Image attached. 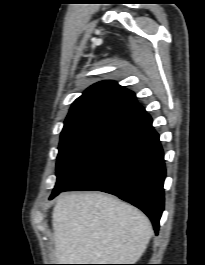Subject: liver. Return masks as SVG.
<instances>
[{
	"label": "liver",
	"mask_w": 205,
	"mask_h": 265,
	"mask_svg": "<svg viewBox=\"0 0 205 265\" xmlns=\"http://www.w3.org/2000/svg\"><path fill=\"white\" fill-rule=\"evenodd\" d=\"M60 264H135L153 236L149 219L110 195H61L52 213Z\"/></svg>",
	"instance_id": "1"
}]
</instances>
